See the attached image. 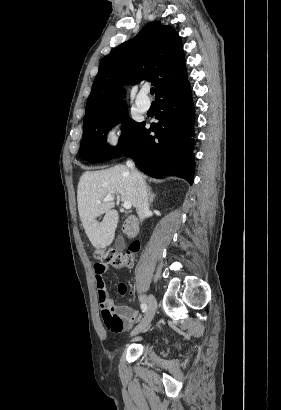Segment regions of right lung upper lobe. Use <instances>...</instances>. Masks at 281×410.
<instances>
[{
    "mask_svg": "<svg viewBox=\"0 0 281 410\" xmlns=\"http://www.w3.org/2000/svg\"><path fill=\"white\" fill-rule=\"evenodd\" d=\"M147 80L156 97L187 80L181 39L170 26L150 22L132 39L105 56L93 82L83 124L126 108L125 84Z\"/></svg>",
    "mask_w": 281,
    "mask_h": 410,
    "instance_id": "1",
    "label": "right lung upper lobe"
}]
</instances>
